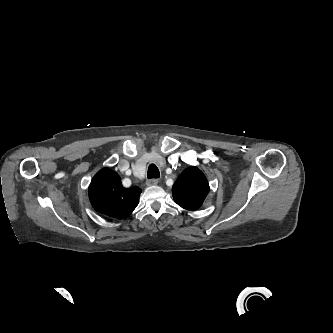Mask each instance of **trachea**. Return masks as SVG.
<instances>
[{"instance_id":"trachea-1","label":"trachea","mask_w":333,"mask_h":333,"mask_svg":"<svg viewBox=\"0 0 333 333\" xmlns=\"http://www.w3.org/2000/svg\"><path fill=\"white\" fill-rule=\"evenodd\" d=\"M147 177L149 179H151V178H159L160 177L159 169H158V167L155 164H150V166L148 168Z\"/></svg>"}]
</instances>
